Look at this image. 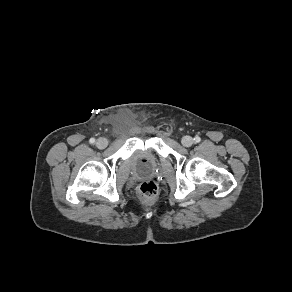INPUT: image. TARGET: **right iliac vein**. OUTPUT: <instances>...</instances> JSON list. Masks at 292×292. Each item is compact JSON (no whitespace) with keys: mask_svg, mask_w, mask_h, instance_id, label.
Returning a JSON list of instances; mask_svg holds the SVG:
<instances>
[{"mask_svg":"<svg viewBox=\"0 0 292 292\" xmlns=\"http://www.w3.org/2000/svg\"><path fill=\"white\" fill-rule=\"evenodd\" d=\"M107 145H108V141H107L105 138H99V139L96 141V146H97L99 149H104V148H106Z\"/></svg>","mask_w":292,"mask_h":292,"instance_id":"63e3f726","label":"right iliac vein"}]
</instances>
